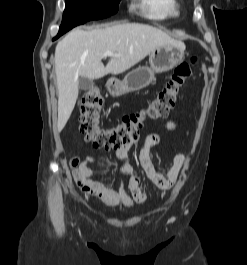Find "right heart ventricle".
<instances>
[{
  "label": "right heart ventricle",
  "mask_w": 247,
  "mask_h": 265,
  "mask_svg": "<svg viewBox=\"0 0 247 265\" xmlns=\"http://www.w3.org/2000/svg\"><path fill=\"white\" fill-rule=\"evenodd\" d=\"M145 16L162 20L179 15L178 0H138Z\"/></svg>",
  "instance_id": "e07e8e85"
}]
</instances>
